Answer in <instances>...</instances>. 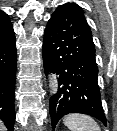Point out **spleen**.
<instances>
[{
    "mask_svg": "<svg viewBox=\"0 0 117 131\" xmlns=\"http://www.w3.org/2000/svg\"><path fill=\"white\" fill-rule=\"evenodd\" d=\"M70 131H100L95 120L85 114H69L63 119Z\"/></svg>",
    "mask_w": 117,
    "mask_h": 131,
    "instance_id": "3e777b00",
    "label": "spleen"
}]
</instances>
